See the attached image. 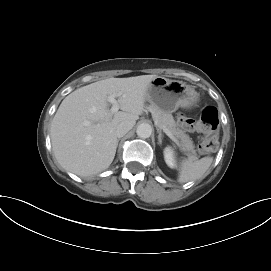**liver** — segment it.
Segmentation results:
<instances>
[{"instance_id": "6515ba94", "label": "liver", "mask_w": 271, "mask_h": 271, "mask_svg": "<svg viewBox=\"0 0 271 271\" xmlns=\"http://www.w3.org/2000/svg\"><path fill=\"white\" fill-rule=\"evenodd\" d=\"M157 75L108 78L76 89L64 98L51 123V143L58 163L79 176H91L112 163L121 122L133 124L143 114L146 91ZM118 97L122 111L111 114L107 97Z\"/></svg>"}]
</instances>
